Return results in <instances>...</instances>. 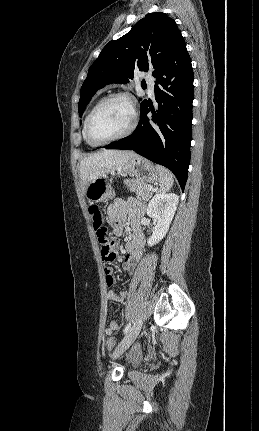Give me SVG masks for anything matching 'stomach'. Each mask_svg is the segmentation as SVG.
I'll return each instance as SVG.
<instances>
[{
  "label": "stomach",
  "mask_w": 259,
  "mask_h": 431,
  "mask_svg": "<svg viewBox=\"0 0 259 431\" xmlns=\"http://www.w3.org/2000/svg\"><path fill=\"white\" fill-rule=\"evenodd\" d=\"M117 174L135 176L146 184L160 181L159 173L153 163L138 155L125 163L117 171ZM84 194L90 202L110 200L115 197L111 184L102 177L91 181L86 187Z\"/></svg>",
  "instance_id": "obj_1"
}]
</instances>
